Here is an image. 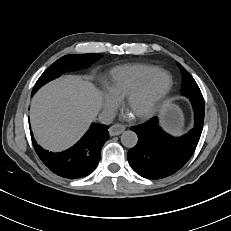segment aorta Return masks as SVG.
<instances>
[{
    "label": "aorta",
    "mask_w": 231,
    "mask_h": 231,
    "mask_svg": "<svg viewBox=\"0 0 231 231\" xmlns=\"http://www.w3.org/2000/svg\"><path fill=\"white\" fill-rule=\"evenodd\" d=\"M138 142V136L135 132L127 130L121 135V143L127 148H133Z\"/></svg>",
    "instance_id": "762f6f07"
}]
</instances>
